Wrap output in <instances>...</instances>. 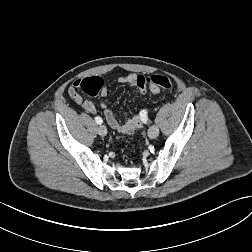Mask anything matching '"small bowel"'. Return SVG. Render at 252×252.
Instances as JSON below:
<instances>
[{
  "mask_svg": "<svg viewBox=\"0 0 252 252\" xmlns=\"http://www.w3.org/2000/svg\"><path fill=\"white\" fill-rule=\"evenodd\" d=\"M136 74H127L119 78V82L128 84L131 87H136ZM80 79H77L73 84L68 88V95L74 100L77 105H80L87 113L94 114L96 113V108L94 104L88 100L84 99L78 92L80 89ZM150 91L153 94H157L159 89L155 85L150 86ZM108 95V88L104 86L101 90V96L106 97ZM101 107L104 112L105 120L108 125L115 131L123 134H132L136 130L142 127L141 119L138 115H134L125 122H120L118 116L113 112L105 102H101Z\"/></svg>",
  "mask_w": 252,
  "mask_h": 252,
  "instance_id": "small-bowel-1",
  "label": "small bowel"
}]
</instances>
